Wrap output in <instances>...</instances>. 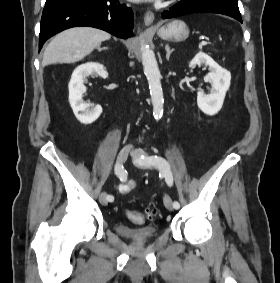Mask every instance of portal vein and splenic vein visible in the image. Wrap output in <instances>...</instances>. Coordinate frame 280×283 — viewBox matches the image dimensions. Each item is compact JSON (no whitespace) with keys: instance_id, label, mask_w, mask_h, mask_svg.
<instances>
[{"instance_id":"portal-vein-and-splenic-vein-1","label":"portal vein and splenic vein","mask_w":280,"mask_h":283,"mask_svg":"<svg viewBox=\"0 0 280 283\" xmlns=\"http://www.w3.org/2000/svg\"><path fill=\"white\" fill-rule=\"evenodd\" d=\"M207 44H208L207 41H202V42H201V46H205V45H207Z\"/></svg>"}]
</instances>
